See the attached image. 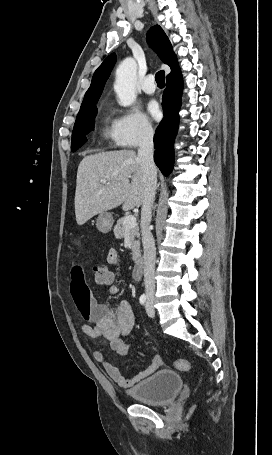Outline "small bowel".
Segmentation results:
<instances>
[{"label":"small bowel","mask_w":272,"mask_h":455,"mask_svg":"<svg viewBox=\"0 0 272 455\" xmlns=\"http://www.w3.org/2000/svg\"><path fill=\"white\" fill-rule=\"evenodd\" d=\"M106 261L109 265H117L119 261L117 251L110 249L106 256ZM113 283L114 278L108 284L112 294L117 292V288ZM70 290L73 301L84 321L80 325L81 331L89 337L103 336L119 354H127L129 345L124 338L131 333L135 323L131 305L126 301H121L114 309H111L107 305L97 303L79 266H74L72 269ZM89 323H93V325ZM93 359L122 388L132 387L138 381L154 373L163 364L161 356L155 355L148 367L134 377L128 378L122 374L118 367L111 364L101 351H95Z\"/></svg>","instance_id":"1"}]
</instances>
